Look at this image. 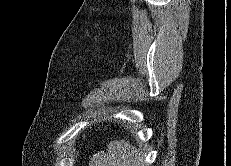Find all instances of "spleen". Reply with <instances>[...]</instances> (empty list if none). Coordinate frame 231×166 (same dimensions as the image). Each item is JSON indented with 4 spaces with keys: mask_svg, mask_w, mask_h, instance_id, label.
<instances>
[{
    "mask_svg": "<svg viewBox=\"0 0 231 166\" xmlns=\"http://www.w3.org/2000/svg\"><path fill=\"white\" fill-rule=\"evenodd\" d=\"M145 154L130 145L128 141H111L107 151L93 156L91 166H146Z\"/></svg>",
    "mask_w": 231,
    "mask_h": 166,
    "instance_id": "3e777b00",
    "label": "spleen"
}]
</instances>
